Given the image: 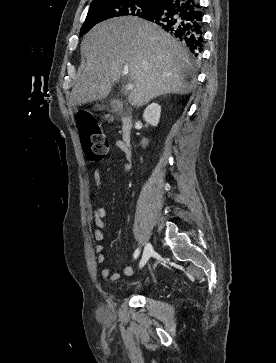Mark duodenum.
Here are the masks:
<instances>
[{
  "label": "duodenum",
  "mask_w": 276,
  "mask_h": 363,
  "mask_svg": "<svg viewBox=\"0 0 276 363\" xmlns=\"http://www.w3.org/2000/svg\"><path fill=\"white\" fill-rule=\"evenodd\" d=\"M132 129H133V114L130 111H126L122 115L121 139L124 147L128 150L130 149L131 146Z\"/></svg>",
  "instance_id": "1"
}]
</instances>
